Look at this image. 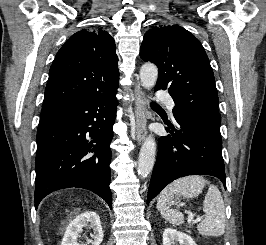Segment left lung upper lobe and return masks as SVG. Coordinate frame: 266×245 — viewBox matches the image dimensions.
<instances>
[{
  "label": "left lung upper lobe",
  "mask_w": 266,
  "mask_h": 245,
  "mask_svg": "<svg viewBox=\"0 0 266 245\" xmlns=\"http://www.w3.org/2000/svg\"><path fill=\"white\" fill-rule=\"evenodd\" d=\"M140 57L157 65L155 90L168 89L176 104L173 112H189L221 123L213 70L202 44L189 31L179 25L148 30Z\"/></svg>",
  "instance_id": "left-lung-upper-lobe-1"
}]
</instances>
